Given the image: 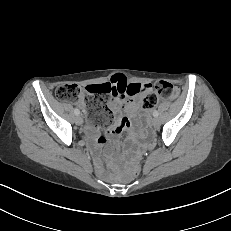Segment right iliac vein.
<instances>
[{"instance_id": "right-iliac-vein-1", "label": "right iliac vein", "mask_w": 231, "mask_h": 231, "mask_svg": "<svg viewBox=\"0 0 231 231\" xmlns=\"http://www.w3.org/2000/svg\"><path fill=\"white\" fill-rule=\"evenodd\" d=\"M75 122L77 125H82L83 124V118L80 115H77L75 118Z\"/></svg>"}]
</instances>
